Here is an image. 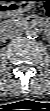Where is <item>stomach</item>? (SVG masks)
Wrapping results in <instances>:
<instances>
[{
    "label": "stomach",
    "mask_w": 50,
    "mask_h": 111,
    "mask_svg": "<svg viewBox=\"0 0 50 111\" xmlns=\"http://www.w3.org/2000/svg\"><path fill=\"white\" fill-rule=\"evenodd\" d=\"M34 0H16L1 2L0 12L3 16H15L30 10L34 6Z\"/></svg>",
    "instance_id": "stomach-1"
}]
</instances>
